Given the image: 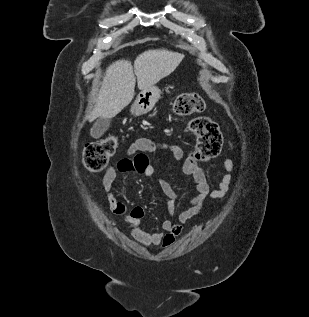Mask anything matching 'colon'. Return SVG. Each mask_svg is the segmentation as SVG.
<instances>
[{"label": "colon", "instance_id": "5ec220e1", "mask_svg": "<svg viewBox=\"0 0 309 317\" xmlns=\"http://www.w3.org/2000/svg\"><path fill=\"white\" fill-rule=\"evenodd\" d=\"M204 109V100L197 93H182L173 102V112L178 116H189ZM190 128L196 136L195 157L200 161L215 158L221 151L223 137L218 125L208 117H195ZM117 148L113 135L86 144L83 165L91 172H100L108 164Z\"/></svg>", "mask_w": 309, "mask_h": 317}]
</instances>
